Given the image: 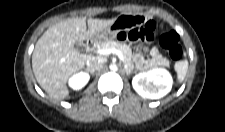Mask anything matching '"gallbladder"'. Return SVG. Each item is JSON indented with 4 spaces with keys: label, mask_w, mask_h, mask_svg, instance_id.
Returning <instances> with one entry per match:
<instances>
[{
    "label": "gallbladder",
    "mask_w": 225,
    "mask_h": 132,
    "mask_svg": "<svg viewBox=\"0 0 225 132\" xmlns=\"http://www.w3.org/2000/svg\"><path fill=\"white\" fill-rule=\"evenodd\" d=\"M74 46L80 52H84L85 50V45L83 42H76Z\"/></svg>",
    "instance_id": "1"
}]
</instances>
